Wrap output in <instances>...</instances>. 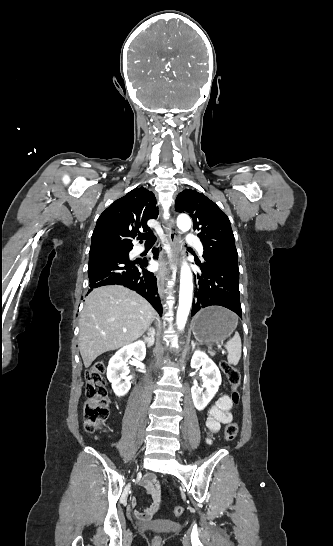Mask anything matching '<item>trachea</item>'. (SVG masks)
Wrapping results in <instances>:
<instances>
[{
	"label": "trachea",
	"mask_w": 333,
	"mask_h": 546,
	"mask_svg": "<svg viewBox=\"0 0 333 546\" xmlns=\"http://www.w3.org/2000/svg\"><path fill=\"white\" fill-rule=\"evenodd\" d=\"M139 239L146 240L145 244L147 245H152L156 242V236L153 234L152 231H149L148 233L140 235Z\"/></svg>",
	"instance_id": "1"
}]
</instances>
